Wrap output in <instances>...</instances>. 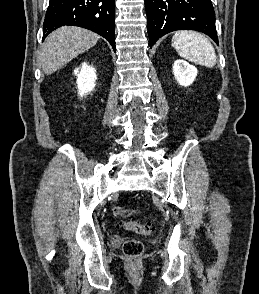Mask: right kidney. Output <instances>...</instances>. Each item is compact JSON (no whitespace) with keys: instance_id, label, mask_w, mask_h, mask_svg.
Returning <instances> with one entry per match:
<instances>
[{"instance_id":"right-kidney-1","label":"right kidney","mask_w":259,"mask_h":294,"mask_svg":"<svg viewBox=\"0 0 259 294\" xmlns=\"http://www.w3.org/2000/svg\"><path fill=\"white\" fill-rule=\"evenodd\" d=\"M74 74L77 76L78 94L81 97L94 90L97 75L93 66L84 62L80 68L74 70Z\"/></svg>"}]
</instances>
